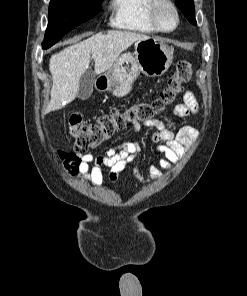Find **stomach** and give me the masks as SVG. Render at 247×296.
Here are the masks:
<instances>
[{"label":"stomach","mask_w":247,"mask_h":296,"mask_svg":"<svg viewBox=\"0 0 247 296\" xmlns=\"http://www.w3.org/2000/svg\"><path fill=\"white\" fill-rule=\"evenodd\" d=\"M134 49V54L120 55L106 73L96 78L98 91H110L114 96L123 97L131 91L140 73L147 77H159L173 62L172 48L158 38L137 41Z\"/></svg>","instance_id":"stomach-1"}]
</instances>
